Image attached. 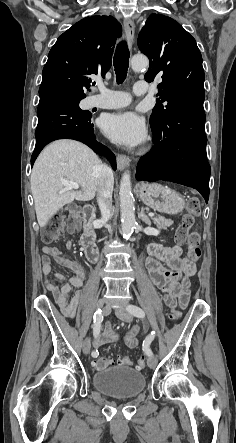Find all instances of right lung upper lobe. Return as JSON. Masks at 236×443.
Returning a JSON list of instances; mask_svg holds the SVG:
<instances>
[{
  "mask_svg": "<svg viewBox=\"0 0 236 443\" xmlns=\"http://www.w3.org/2000/svg\"><path fill=\"white\" fill-rule=\"evenodd\" d=\"M121 25L112 16L83 18L59 36L43 68L39 95L85 96L92 74L103 77L112 64Z\"/></svg>",
  "mask_w": 236,
  "mask_h": 443,
  "instance_id": "obj_1",
  "label": "right lung upper lobe"
}]
</instances>
